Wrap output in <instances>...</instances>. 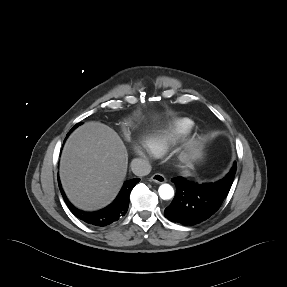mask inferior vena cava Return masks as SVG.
I'll list each match as a JSON object with an SVG mask.
<instances>
[{
	"label": "inferior vena cava",
	"mask_w": 287,
	"mask_h": 287,
	"mask_svg": "<svg viewBox=\"0 0 287 287\" xmlns=\"http://www.w3.org/2000/svg\"><path fill=\"white\" fill-rule=\"evenodd\" d=\"M131 169L135 175L142 177L151 172V165L143 159L135 158L131 162Z\"/></svg>",
	"instance_id": "1"
}]
</instances>
